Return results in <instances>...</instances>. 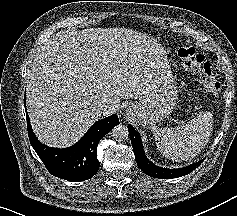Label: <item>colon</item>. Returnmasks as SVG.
<instances>
[{
  "label": "colon",
  "instance_id": "colon-1",
  "mask_svg": "<svg viewBox=\"0 0 237 216\" xmlns=\"http://www.w3.org/2000/svg\"><path fill=\"white\" fill-rule=\"evenodd\" d=\"M178 55L185 68L199 72L209 85L219 88L218 82L212 76L210 63L203 56L197 54L194 47L181 43L178 46Z\"/></svg>",
  "mask_w": 237,
  "mask_h": 216
}]
</instances>
